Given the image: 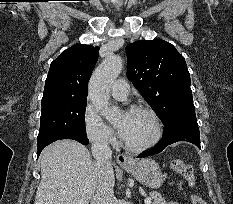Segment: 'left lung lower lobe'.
Segmentation results:
<instances>
[{"label": "left lung lower lobe", "instance_id": "0a47b994", "mask_svg": "<svg viewBox=\"0 0 233 204\" xmlns=\"http://www.w3.org/2000/svg\"><path fill=\"white\" fill-rule=\"evenodd\" d=\"M178 141H187L195 144L199 149L200 147V133L198 126H184L174 129L168 135H163V138L158 142V144L138 156V158L151 156L160 153L167 145Z\"/></svg>", "mask_w": 233, "mask_h": 204}]
</instances>
